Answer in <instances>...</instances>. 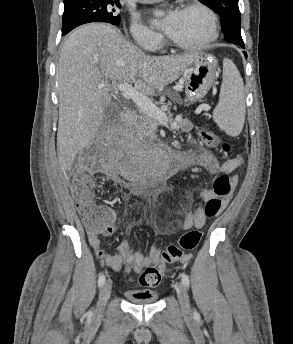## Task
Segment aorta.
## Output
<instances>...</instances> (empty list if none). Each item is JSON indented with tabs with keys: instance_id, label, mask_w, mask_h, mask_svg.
I'll return each instance as SVG.
<instances>
[{
	"instance_id": "aorta-1",
	"label": "aorta",
	"mask_w": 293,
	"mask_h": 344,
	"mask_svg": "<svg viewBox=\"0 0 293 344\" xmlns=\"http://www.w3.org/2000/svg\"><path fill=\"white\" fill-rule=\"evenodd\" d=\"M169 157L164 151L154 154L151 157V167L155 172H164L169 168Z\"/></svg>"
}]
</instances>
